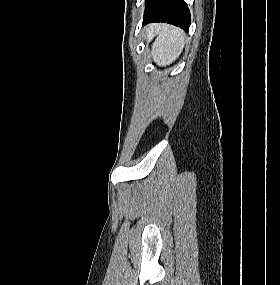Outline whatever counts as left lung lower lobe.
<instances>
[{
	"instance_id": "obj_1",
	"label": "left lung lower lobe",
	"mask_w": 280,
	"mask_h": 285,
	"mask_svg": "<svg viewBox=\"0 0 280 285\" xmlns=\"http://www.w3.org/2000/svg\"><path fill=\"white\" fill-rule=\"evenodd\" d=\"M152 22H166L188 32L191 18L183 0H146L143 25Z\"/></svg>"
}]
</instances>
